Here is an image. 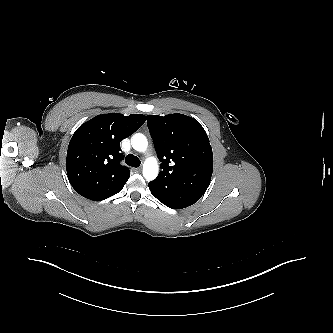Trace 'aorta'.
Segmentation results:
<instances>
[{"instance_id": "aorta-1", "label": "aorta", "mask_w": 333, "mask_h": 333, "mask_svg": "<svg viewBox=\"0 0 333 333\" xmlns=\"http://www.w3.org/2000/svg\"><path fill=\"white\" fill-rule=\"evenodd\" d=\"M132 147L138 152H145L148 147V140L145 135L136 133L131 138ZM159 173V167L156 158L149 157L143 164V176L147 181L154 180Z\"/></svg>"}]
</instances>
